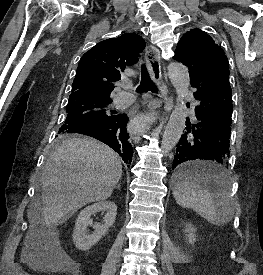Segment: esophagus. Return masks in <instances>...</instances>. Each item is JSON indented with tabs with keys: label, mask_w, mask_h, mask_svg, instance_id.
Wrapping results in <instances>:
<instances>
[{
	"label": "esophagus",
	"mask_w": 263,
	"mask_h": 275,
	"mask_svg": "<svg viewBox=\"0 0 263 275\" xmlns=\"http://www.w3.org/2000/svg\"><path fill=\"white\" fill-rule=\"evenodd\" d=\"M145 57L151 76L161 89V94H159L158 97L154 99L149 105L150 110L147 116V121L153 122L157 115V110L162 104V99L167 100V111H169L172 107V100L171 98L167 97V88L162 81L160 51L154 45H148L146 48ZM145 130L146 129H142L138 133H133L132 138L135 143H138L141 140V136L143 135Z\"/></svg>",
	"instance_id": "1"
}]
</instances>
